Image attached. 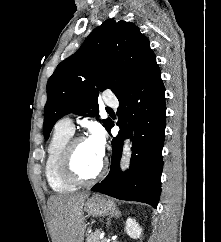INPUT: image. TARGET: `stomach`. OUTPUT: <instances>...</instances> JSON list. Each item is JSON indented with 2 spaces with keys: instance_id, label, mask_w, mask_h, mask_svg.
Instances as JSON below:
<instances>
[{
  "instance_id": "1",
  "label": "stomach",
  "mask_w": 221,
  "mask_h": 242,
  "mask_svg": "<svg viewBox=\"0 0 221 242\" xmlns=\"http://www.w3.org/2000/svg\"><path fill=\"white\" fill-rule=\"evenodd\" d=\"M115 209L116 205L114 201L101 195H93L84 204V211L94 217L114 212Z\"/></svg>"
}]
</instances>
